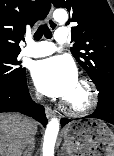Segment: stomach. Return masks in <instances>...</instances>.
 Returning a JSON list of instances; mask_svg holds the SVG:
<instances>
[{"label": "stomach", "instance_id": "0dacf381", "mask_svg": "<svg viewBox=\"0 0 114 156\" xmlns=\"http://www.w3.org/2000/svg\"><path fill=\"white\" fill-rule=\"evenodd\" d=\"M63 135L68 156H114V133L104 121H73Z\"/></svg>", "mask_w": 114, "mask_h": 156}]
</instances>
